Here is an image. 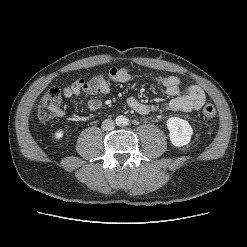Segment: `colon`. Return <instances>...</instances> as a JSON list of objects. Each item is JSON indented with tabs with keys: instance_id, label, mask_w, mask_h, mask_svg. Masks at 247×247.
<instances>
[{
	"instance_id": "colon-1",
	"label": "colon",
	"mask_w": 247,
	"mask_h": 247,
	"mask_svg": "<svg viewBox=\"0 0 247 247\" xmlns=\"http://www.w3.org/2000/svg\"><path fill=\"white\" fill-rule=\"evenodd\" d=\"M61 92L58 88L49 89L42 97L38 106V117L43 121H48L58 116L61 111ZM216 115V109L213 104L208 103L203 106L201 116L206 119H212Z\"/></svg>"
}]
</instances>
